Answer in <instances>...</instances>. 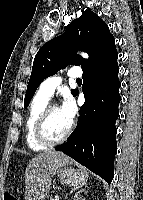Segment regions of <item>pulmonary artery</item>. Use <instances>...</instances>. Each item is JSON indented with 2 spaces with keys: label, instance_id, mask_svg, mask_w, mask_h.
<instances>
[{
  "label": "pulmonary artery",
  "instance_id": "e3ab8cb5",
  "mask_svg": "<svg viewBox=\"0 0 143 200\" xmlns=\"http://www.w3.org/2000/svg\"><path fill=\"white\" fill-rule=\"evenodd\" d=\"M82 75V71L78 67H73L67 72V77L78 79ZM63 77L60 75L52 76L44 80L40 87L39 92L50 98L55 92L56 88L62 83Z\"/></svg>",
  "mask_w": 143,
  "mask_h": 200
}]
</instances>
